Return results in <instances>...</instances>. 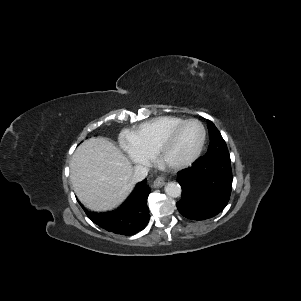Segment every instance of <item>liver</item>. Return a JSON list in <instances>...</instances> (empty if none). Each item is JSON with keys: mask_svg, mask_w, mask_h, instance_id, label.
<instances>
[{"mask_svg": "<svg viewBox=\"0 0 301 301\" xmlns=\"http://www.w3.org/2000/svg\"><path fill=\"white\" fill-rule=\"evenodd\" d=\"M128 158L104 138L85 140L70 162V180L78 199L89 209L117 207L134 187Z\"/></svg>", "mask_w": 301, "mask_h": 301, "instance_id": "1", "label": "liver"}]
</instances>
